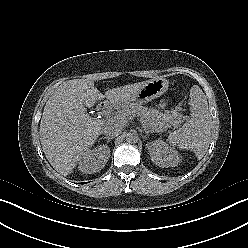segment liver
Listing matches in <instances>:
<instances>
[{
  "instance_id": "1",
  "label": "liver",
  "mask_w": 248,
  "mask_h": 248,
  "mask_svg": "<svg viewBox=\"0 0 248 248\" xmlns=\"http://www.w3.org/2000/svg\"><path fill=\"white\" fill-rule=\"evenodd\" d=\"M147 81L113 88L104 95L92 80L62 84L47 101L39 129L43 152L53 168L64 176L72 173L100 135L103 123L91 118L85 106L104 98L111 103L127 101Z\"/></svg>"
}]
</instances>
